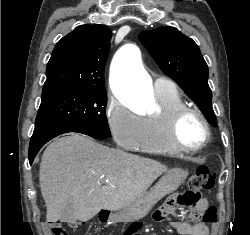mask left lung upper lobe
<instances>
[{
    "instance_id": "1",
    "label": "left lung upper lobe",
    "mask_w": 250,
    "mask_h": 235,
    "mask_svg": "<svg viewBox=\"0 0 250 235\" xmlns=\"http://www.w3.org/2000/svg\"><path fill=\"white\" fill-rule=\"evenodd\" d=\"M139 40L161 70L179 84L210 123L217 125L211 105L208 67L197 44L170 26L144 30Z\"/></svg>"
}]
</instances>
